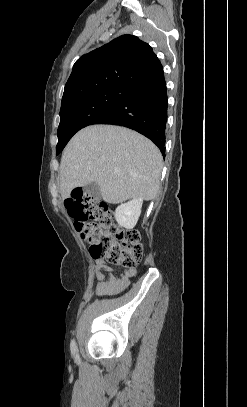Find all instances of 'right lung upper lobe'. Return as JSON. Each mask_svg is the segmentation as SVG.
I'll use <instances>...</instances> for the list:
<instances>
[{
	"mask_svg": "<svg viewBox=\"0 0 247 407\" xmlns=\"http://www.w3.org/2000/svg\"><path fill=\"white\" fill-rule=\"evenodd\" d=\"M162 71L159 59L147 43L133 35H122L75 62L61 106L110 87L135 89Z\"/></svg>",
	"mask_w": 247,
	"mask_h": 407,
	"instance_id": "1",
	"label": "right lung upper lobe"
}]
</instances>
